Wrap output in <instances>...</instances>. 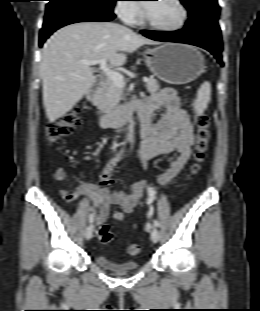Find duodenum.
<instances>
[{
	"label": "duodenum",
	"instance_id": "410a0bca",
	"mask_svg": "<svg viewBox=\"0 0 260 311\" xmlns=\"http://www.w3.org/2000/svg\"><path fill=\"white\" fill-rule=\"evenodd\" d=\"M106 78L99 76L95 79L94 83L89 87L86 93V99L88 103L95 107L98 102L99 93L102 84ZM143 104L139 101H130L121 104L115 110L108 113H98L97 118L100 125L104 127L108 126H120L126 123L135 112L142 111Z\"/></svg>",
	"mask_w": 260,
	"mask_h": 311
}]
</instances>
